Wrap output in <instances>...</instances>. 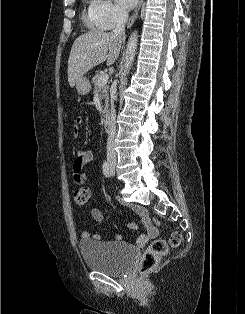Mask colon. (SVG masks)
<instances>
[{"mask_svg":"<svg viewBox=\"0 0 245 314\" xmlns=\"http://www.w3.org/2000/svg\"><path fill=\"white\" fill-rule=\"evenodd\" d=\"M73 200L78 206H86L90 200V191L86 187H79L73 191ZM182 237L178 232L171 234L169 241L154 240L145 250L140 262L142 273L152 270L168 253L169 247H176L181 243Z\"/></svg>","mask_w":245,"mask_h":314,"instance_id":"colon-1","label":"colon"}]
</instances>
